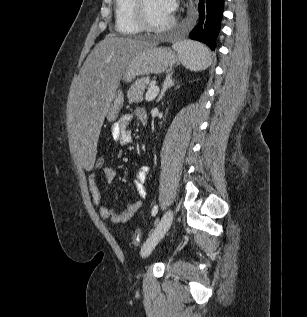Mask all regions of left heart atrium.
I'll return each mask as SVG.
<instances>
[{
  "instance_id": "39dd6f15",
  "label": "left heart atrium",
  "mask_w": 307,
  "mask_h": 317,
  "mask_svg": "<svg viewBox=\"0 0 307 317\" xmlns=\"http://www.w3.org/2000/svg\"><path fill=\"white\" fill-rule=\"evenodd\" d=\"M164 3L171 13L175 11L177 6L176 0H164Z\"/></svg>"
}]
</instances>
